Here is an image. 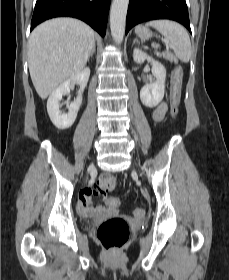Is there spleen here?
Masks as SVG:
<instances>
[{"label":"spleen","mask_w":229,"mask_h":280,"mask_svg":"<svg viewBox=\"0 0 229 280\" xmlns=\"http://www.w3.org/2000/svg\"><path fill=\"white\" fill-rule=\"evenodd\" d=\"M147 26L155 28L168 41L174 54L182 62H188L191 56V42L185 28L180 24L170 20H153L149 21ZM153 47H159L158 44H152Z\"/></svg>","instance_id":"spleen-1"}]
</instances>
